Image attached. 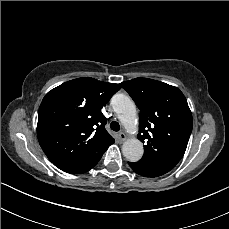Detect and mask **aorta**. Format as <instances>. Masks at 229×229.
<instances>
[{
    "mask_svg": "<svg viewBox=\"0 0 229 229\" xmlns=\"http://www.w3.org/2000/svg\"><path fill=\"white\" fill-rule=\"evenodd\" d=\"M112 107L124 128L131 133L137 132V112L132 99L125 94H115L111 99ZM124 157L131 162L140 160L144 149L142 143L136 138L127 139L122 146Z\"/></svg>",
    "mask_w": 229,
    "mask_h": 229,
    "instance_id": "obj_1",
    "label": "aorta"
}]
</instances>
